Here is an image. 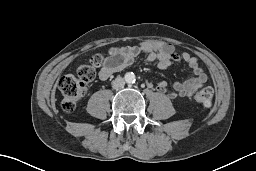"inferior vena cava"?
Instances as JSON below:
<instances>
[{
  "label": "inferior vena cava",
  "mask_w": 256,
  "mask_h": 171,
  "mask_svg": "<svg viewBox=\"0 0 256 171\" xmlns=\"http://www.w3.org/2000/svg\"><path fill=\"white\" fill-rule=\"evenodd\" d=\"M125 85V81L122 77L118 76L115 80L112 81L113 89H122Z\"/></svg>",
  "instance_id": "602c4592"
}]
</instances>
